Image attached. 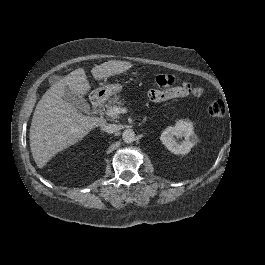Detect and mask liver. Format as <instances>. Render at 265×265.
I'll use <instances>...</instances> for the list:
<instances>
[{
	"instance_id": "1",
	"label": "liver",
	"mask_w": 265,
	"mask_h": 265,
	"mask_svg": "<svg viewBox=\"0 0 265 265\" xmlns=\"http://www.w3.org/2000/svg\"><path fill=\"white\" fill-rule=\"evenodd\" d=\"M132 67L126 61H108L92 68L95 80L121 74ZM82 96L90 90L83 68H78L53 84L37 103L30 127V148L38 168L63 149L82 140L93 128L105 123V119L85 116L65 102V88Z\"/></svg>"
}]
</instances>
